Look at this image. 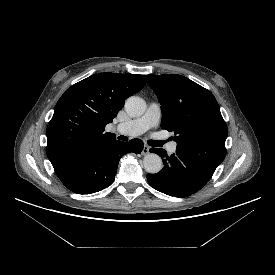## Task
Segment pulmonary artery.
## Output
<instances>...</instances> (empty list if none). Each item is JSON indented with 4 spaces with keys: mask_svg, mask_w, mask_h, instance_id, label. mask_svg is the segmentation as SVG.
Returning a JSON list of instances; mask_svg holds the SVG:
<instances>
[{
    "mask_svg": "<svg viewBox=\"0 0 275 275\" xmlns=\"http://www.w3.org/2000/svg\"><path fill=\"white\" fill-rule=\"evenodd\" d=\"M160 118V105L152 102L149 104L145 114L142 117L118 124L116 126V131L129 136H137L150 128L156 127L160 121ZM168 150L170 153H174L176 151V143H171Z\"/></svg>",
    "mask_w": 275,
    "mask_h": 275,
    "instance_id": "e3ab8cb5",
    "label": "pulmonary artery"
}]
</instances>
